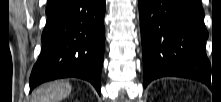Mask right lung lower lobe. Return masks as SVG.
I'll return each mask as SVG.
<instances>
[{
	"instance_id": "1",
	"label": "right lung lower lobe",
	"mask_w": 221,
	"mask_h": 102,
	"mask_svg": "<svg viewBox=\"0 0 221 102\" xmlns=\"http://www.w3.org/2000/svg\"><path fill=\"white\" fill-rule=\"evenodd\" d=\"M105 7V0H54L48 4L30 91L46 81L76 77L91 82L100 94Z\"/></svg>"
}]
</instances>
